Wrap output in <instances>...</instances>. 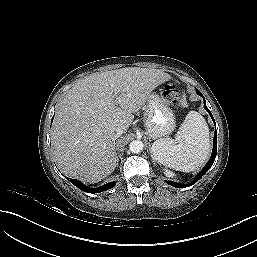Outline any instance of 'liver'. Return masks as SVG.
Masks as SVG:
<instances>
[{
	"mask_svg": "<svg viewBox=\"0 0 257 257\" xmlns=\"http://www.w3.org/2000/svg\"><path fill=\"white\" fill-rule=\"evenodd\" d=\"M158 69L126 67L93 74L65 95L55 114L51 140L55 160L67 176L96 183L115 169L113 132L124 133L151 92L170 80Z\"/></svg>",
	"mask_w": 257,
	"mask_h": 257,
	"instance_id": "liver-1",
	"label": "liver"
}]
</instances>
